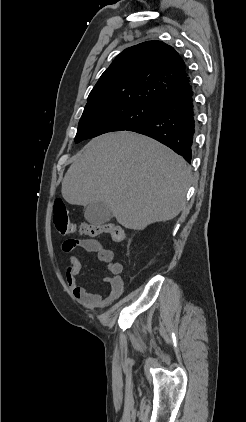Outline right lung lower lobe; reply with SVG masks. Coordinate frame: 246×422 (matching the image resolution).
<instances>
[{
	"label": "right lung lower lobe",
	"mask_w": 246,
	"mask_h": 422,
	"mask_svg": "<svg viewBox=\"0 0 246 422\" xmlns=\"http://www.w3.org/2000/svg\"><path fill=\"white\" fill-rule=\"evenodd\" d=\"M196 127L192 89L157 104V114L128 131L149 136L171 148L188 163Z\"/></svg>",
	"instance_id": "98d812e1"
}]
</instances>
